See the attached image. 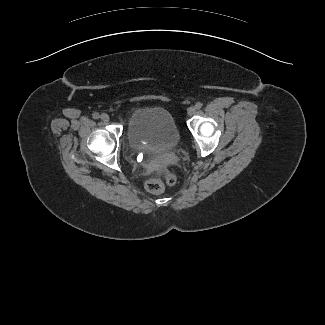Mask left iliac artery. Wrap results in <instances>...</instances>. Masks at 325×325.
I'll use <instances>...</instances> for the list:
<instances>
[{
    "label": "left iliac artery",
    "instance_id": "left-iliac-artery-1",
    "mask_svg": "<svg viewBox=\"0 0 325 325\" xmlns=\"http://www.w3.org/2000/svg\"><path fill=\"white\" fill-rule=\"evenodd\" d=\"M195 106L197 109H201L203 104L201 102H197Z\"/></svg>",
    "mask_w": 325,
    "mask_h": 325
}]
</instances>
